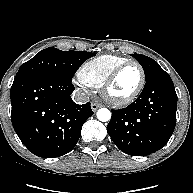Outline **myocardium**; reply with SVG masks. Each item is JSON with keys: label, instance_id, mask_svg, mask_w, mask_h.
Listing matches in <instances>:
<instances>
[{"label": "myocardium", "instance_id": "obj_1", "mask_svg": "<svg viewBox=\"0 0 193 193\" xmlns=\"http://www.w3.org/2000/svg\"><path fill=\"white\" fill-rule=\"evenodd\" d=\"M129 66H136L140 71V82L135 91L125 98H115L110 95V88L119 76V74ZM146 83V75L142 65L136 61L125 62L116 67L105 79L101 86V94L104 100L112 106L123 107L134 102L144 89Z\"/></svg>", "mask_w": 193, "mask_h": 193}]
</instances>
